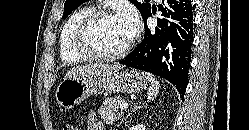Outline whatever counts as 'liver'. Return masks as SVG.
Wrapping results in <instances>:
<instances>
[{
	"label": "liver",
	"instance_id": "liver-1",
	"mask_svg": "<svg viewBox=\"0 0 249 130\" xmlns=\"http://www.w3.org/2000/svg\"><path fill=\"white\" fill-rule=\"evenodd\" d=\"M121 69L120 65L87 64L70 69L64 79L110 75Z\"/></svg>",
	"mask_w": 249,
	"mask_h": 130
}]
</instances>
